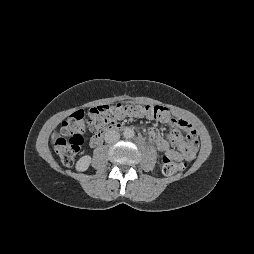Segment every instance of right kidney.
Wrapping results in <instances>:
<instances>
[{
  "instance_id": "ca27d5eb",
  "label": "right kidney",
  "mask_w": 254,
  "mask_h": 254,
  "mask_svg": "<svg viewBox=\"0 0 254 254\" xmlns=\"http://www.w3.org/2000/svg\"><path fill=\"white\" fill-rule=\"evenodd\" d=\"M91 163V157L89 155H85L81 157L76 163V170L77 171H86L89 168Z\"/></svg>"
}]
</instances>
